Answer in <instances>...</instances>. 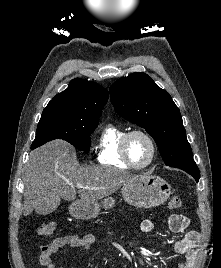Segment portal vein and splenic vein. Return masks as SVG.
Returning <instances> with one entry per match:
<instances>
[{"mask_svg":"<svg viewBox=\"0 0 221 268\" xmlns=\"http://www.w3.org/2000/svg\"><path fill=\"white\" fill-rule=\"evenodd\" d=\"M75 187L76 188H83V185L82 184H77Z\"/></svg>","mask_w":221,"mask_h":268,"instance_id":"portal-vein-and-splenic-vein-1","label":"portal vein and splenic vein"}]
</instances>
